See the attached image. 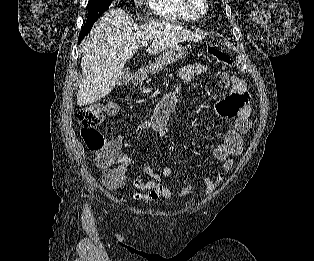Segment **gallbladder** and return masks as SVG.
Here are the masks:
<instances>
[{"mask_svg": "<svg viewBox=\"0 0 314 261\" xmlns=\"http://www.w3.org/2000/svg\"><path fill=\"white\" fill-rule=\"evenodd\" d=\"M132 75H133V73H132L130 68L123 69L122 74L119 78L118 84L119 85H126L131 80Z\"/></svg>", "mask_w": 314, "mask_h": 261, "instance_id": "bac80fb5", "label": "gallbladder"}]
</instances>
